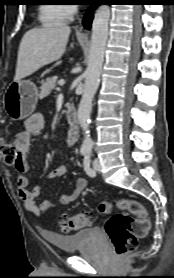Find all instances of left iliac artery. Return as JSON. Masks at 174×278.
Wrapping results in <instances>:
<instances>
[{"mask_svg": "<svg viewBox=\"0 0 174 278\" xmlns=\"http://www.w3.org/2000/svg\"><path fill=\"white\" fill-rule=\"evenodd\" d=\"M90 162H91L90 153L88 152L87 155L84 157L83 166H84L86 173L89 176L93 177V176H95V171L90 167Z\"/></svg>", "mask_w": 174, "mask_h": 278, "instance_id": "44dca946", "label": "left iliac artery"}]
</instances>
